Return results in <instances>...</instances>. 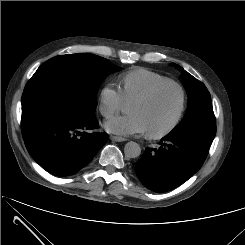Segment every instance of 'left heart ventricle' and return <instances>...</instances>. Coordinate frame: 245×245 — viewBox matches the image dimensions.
<instances>
[{
	"mask_svg": "<svg viewBox=\"0 0 245 245\" xmlns=\"http://www.w3.org/2000/svg\"><path fill=\"white\" fill-rule=\"evenodd\" d=\"M179 102V93L170 88L162 91L149 102H130L127 110L142 118L146 131H159L171 123L178 110Z\"/></svg>",
	"mask_w": 245,
	"mask_h": 245,
	"instance_id": "left-heart-ventricle-1",
	"label": "left heart ventricle"
}]
</instances>
